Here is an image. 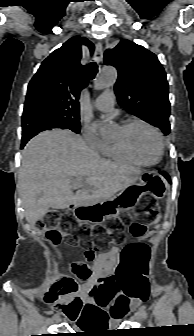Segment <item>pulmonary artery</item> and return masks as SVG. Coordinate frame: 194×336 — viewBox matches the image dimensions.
<instances>
[{"instance_id": "e3ab8cb5", "label": "pulmonary artery", "mask_w": 194, "mask_h": 336, "mask_svg": "<svg viewBox=\"0 0 194 336\" xmlns=\"http://www.w3.org/2000/svg\"><path fill=\"white\" fill-rule=\"evenodd\" d=\"M114 102V93L112 91H105L95 100L94 106L101 112L111 113L113 111Z\"/></svg>"}]
</instances>
